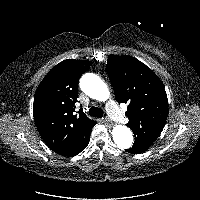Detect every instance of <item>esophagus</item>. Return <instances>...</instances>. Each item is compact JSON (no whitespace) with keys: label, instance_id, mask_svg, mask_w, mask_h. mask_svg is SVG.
Segmentation results:
<instances>
[{"label":"esophagus","instance_id":"1","mask_svg":"<svg viewBox=\"0 0 200 200\" xmlns=\"http://www.w3.org/2000/svg\"><path fill=\"white\" fill-rule=\"evenodd\" d=\"M104 121H105L106 123H108L109 125H112V121H111L108 117H105V118H104Z\"/></svg>","mask_w":200,"mask_h":200}]
</instances>
